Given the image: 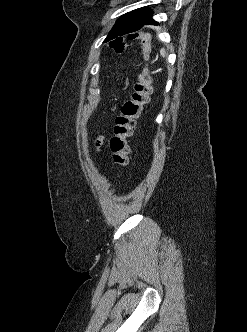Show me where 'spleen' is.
I'll list each match as a JSON object with an SVG mask.
<instances>
[{
	"instance_id": "1",
	"label": "spleen",
	"mask_w": 247,
	"mask_h": 332,
	"mask_svg": "<svg viewBox=\"0 0 247 332\" xmlns=\"http://www.w3.org/2000/svg\"><path fill=\"white\" fill-rule=\"evenodd\" d=\"M160 53H161V55H162L163 57H166L165 49H161V50H160Z\"/></svg>"
}]
</instances>
